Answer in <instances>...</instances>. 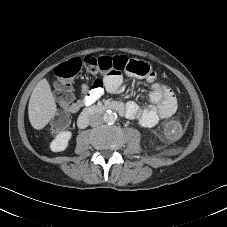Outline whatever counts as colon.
Masks as SVG:
<instances>
[{
  "instance_id": "colon-1",
  "label": "colon",
  "mask_w": 227,
  "mask_h": 227,
  "mask_svg": "<svg viewBox=\"0 0 227 227\" xmlns=\"http://www.w3.org/2000/svg\"><path fill=\"white\" fill-rule=\"evenodd\" d=\"M91 74H105L116 76L118 74L128 72L143 77L152 75L153 69L147 62L139 61L127 56H85L81 58H73L68 62L59 65L54 69V76L59 82V95L66 105L72 98L73 80L80 73L82 68ZM101 83L99 80L94 82V86L98 87ZM69 122V112L65 110L53 122L55 130L66 127Z\"/></svg>"
}]
</instances>
